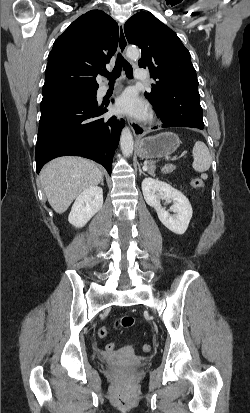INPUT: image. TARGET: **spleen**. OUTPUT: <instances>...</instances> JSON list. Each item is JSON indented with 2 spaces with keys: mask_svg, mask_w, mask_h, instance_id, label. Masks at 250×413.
<instances>
[{
  "mask_svg": "<svg viewBox=\"0 0 250 413\" xmlns=\"http://www.w3.org/2000/svg\"><path fill=\"white\" fill-rule=\"evenodd\" d=\"M194 162L192 167L197 172L209 170L211 165V156L208 147L202 141H196L192 150Z\"/></svg>",
  "mask_w": 250,
  "mask_h": 413,
  "instance_id": "spleen-1",
  "label": "spleen"
}]
</instances>
